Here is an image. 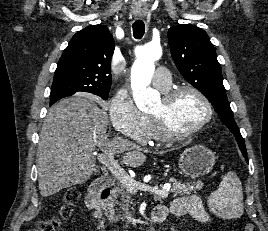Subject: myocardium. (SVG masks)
<instances>
[{
	"label": "myocardium",
	"instance_id": "myocardium-1",
	"mask_svg": "<svg viewBox=\"0 0 268 231\" xmlns=\"http://www.w3.org/2000/svg\"><path fill=\"white\" fill-rule=\"evenodd\" d=\"M183 92H191L203 102L205 106V116L202 121L191 130L177 132L171 126L169 110L175 99ZM151 116L155 120L164 139L170 141H182L195 136L205 128V126L212 120L213 107L209 98L200 89L192 85H179L170 88L163 93L161 110L158 113L151 114Z\"/></svg>",
	"mask_w": 268,
	"mask_h": 231
}]
</instances>
